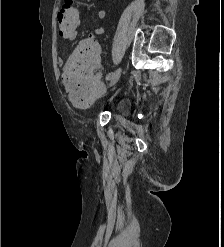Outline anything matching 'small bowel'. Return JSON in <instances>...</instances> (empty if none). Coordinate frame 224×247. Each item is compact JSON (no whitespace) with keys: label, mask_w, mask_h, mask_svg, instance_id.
I'll return each instance as SVG.
<instances>
[{"label":"small bowel","mask_w":224,"mask_h":247,"mask_svg":"<svg viewBox=\"0 0 224 247\" xmlns=\"http://www.w3.org/2000/svg\"><path fill=\"white\" fill-rule=\"evenodd\" d=\"M97 15H98V18L102 20V19H105L106 12L104 10H100V11H98ZM103 32H104V28L102 26L97 27V28L94 29L93 33H91L88 36V38L85 39L83 42H85V41H93V42H96V37L99 36V35H101V34H103ZM76 35H77V31H75L68 38L69 39H74L76 37ZM57 63H58V65H63V60L61 58H58Z\"/></svg>","instance_id":"small-bowel-1"}]
</instances>
